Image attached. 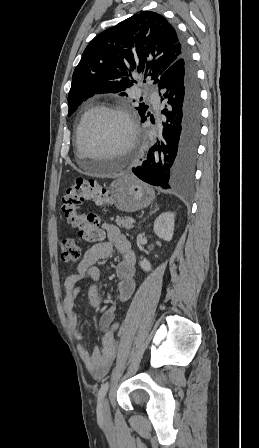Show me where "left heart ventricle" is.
Segmentation results:
<instances>
[{"instance_id":"left-heart-ventricle-1","label":"left heart ventricle","mask_w":259,"mask_h":448,"mask_svg":"<svg viewBox=\"0 0 259 448\" xmlns=\"http://www.w3.org/2000/svg\"><path fill=\"white\" fill-rule=\"evenodd\" d=\"M129 139V128L125 119L112 113L101 117L89 130L88 149L82 152V162H104L115 157L118 148Z\"/></svg>"}]
</instances>
